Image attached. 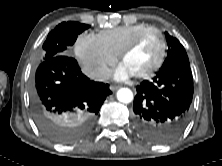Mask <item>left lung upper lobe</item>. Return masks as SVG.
I'll list each match as a JSON object with an SVG mask.
<instances>
[{
	"label": "left lung upper lobe",
	"instance_id": "1",
	"mask_svg": "<svg viewBox=\"0 0 222 166\" xmlns=\"http://www.w3.org/2000/svg\"><path fill=\"white\" fill-rule=\"evenodd\" d=\"M165 36L168 44V55L160 70L173 66H190L187 53L179 40L169 35L167 32H165Z\"/></svg>",
	"mask_w": 222,
	"mask_h": 166
}]
</instances>
